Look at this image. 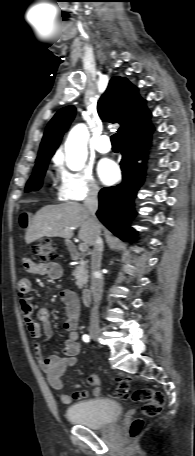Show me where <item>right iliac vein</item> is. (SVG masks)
<instances>
[{"instance_id":"1","label":"right iliac vein","mask_w":195,"mask_h":456,"mask_svg":"<svg viewBox=\"0 0 195 456\" xmlns=\"http://www.w3.org/2000/svg\"><path fill=\"white\" fill-rule=\"evenodd\" d=\"M90 336L94 339L97 340L100 335V329L98 327H91L90 330Z\"/></svg>"}]
</instances>
